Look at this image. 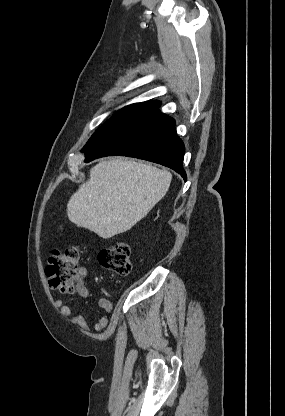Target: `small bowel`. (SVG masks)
I'll return each instance as SVG.
<instances>
[{
  "label": "small bowel",
  "mask_w": 285,
  "mask_h": 416,
  "mask_svg": "<svg viewBox=\"0 0 285 416\" xmlns=\"http://www.w3.org/2000/svg\"><path fill=\"white\" fill-rule=\"evenodd\" d=\"M86 271L82 269V275L85 276ZM77 293L80 297L84 299H95L97 305L106 313H110L112 311V303L109 299L105 297H97L95 298L87 285L83 282V284L78 288ZM55 305L60 308L61 314L71 323L77 325L82 331L89 333L90 327L87 319L82 315H77L75 311L66 305L63 300L57 299L55 300ZM104 314L101 315L98 319L92 322L95 331L100 332L102 331L108 324V316Z\"/></svg>",
  "instance_id": "obj_1"
}]
</instances>
